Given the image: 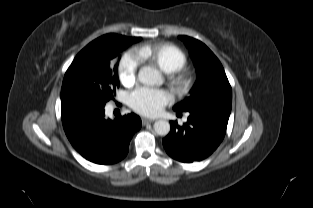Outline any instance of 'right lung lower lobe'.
<instances>
[{
    "instance_id": "obj_1",
    "label": "right lung lower lobe",
    "mask_w": 313,
    "mask_h": 208,
    "mask_svg": "<svg viewBox=\"0 0 313 208\" xmlns=\"http://www.w3.org/2000/svg\"><path fill=\"white\" fill-rule=\"evenodd\" d=\"M105 104L74 89L61 92L62 123L70 143L87 160L109 165L127 155L141 120L134 113L106 119Z\"/></svg>"
}]
</instances>
